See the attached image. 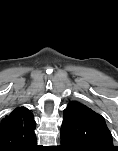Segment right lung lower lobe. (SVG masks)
I'll list each match as a JSON object with an SVG mask.
<instances>
[{"label":"right lung lower lobe","mask_w":118,"mask_h":151,"mask_svg":"<svg viewBox=\"0 0 118 151\" xmlns=\"http://www.w3.org/2000/svg\"><path fill=\"white\" fill-rule=\"evenodd\" d=\"M35 150H38V147L34 144L32 147H30L26 151H35Z\"/></svg>","instance_id":"98d812e1"}]
</instances>
